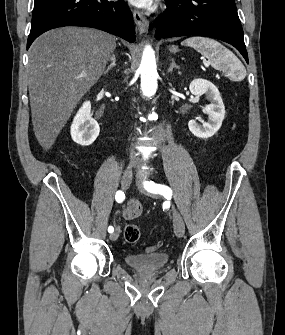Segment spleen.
<instances>
[{"mask_svg": "<svg viewBox=\"0 0 285 335\" xmlns=\"http://www.w3.org/2000/svg\"><path fill=\"white\" fill-rule=\"evenodd\" d=\"M181 46H190V48H194V50L200 52L202 56L208 58L213 68H217L220 64H225V68L228 66V68H233V70H240L242 80L246 76L244 66L240 64L232 52L226 50L216 40H210V38H187V40L182 42Z\"/></svg>", "mask_w": 285, "mask_h": 335, "instance_id": "obj_1", "label": "spleen"}]
</instances>
